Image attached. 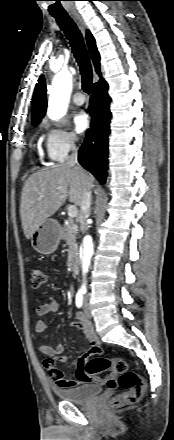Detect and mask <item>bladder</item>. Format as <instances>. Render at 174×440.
<instances>
[{"label":"bladder","instance_id":"obj_1","mask_svg":"<svg viewBox=\"0 0 174 440\" xmlns=\"http://www.w3.org/2000/svg\"><path fill=\"white\" fill-rule=\"evenodd\" d=\"M101 393L98 385L85 384L69 389H55V394L63 401L87 403Z\"/></svg>","mask_w":174,"mask_h":440}]
</instances>
